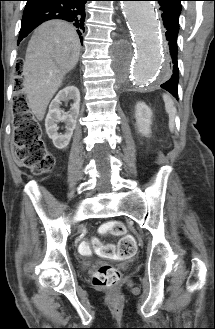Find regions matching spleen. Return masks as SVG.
Here are the masks:
<instances>
[{"label":"spleen","instance_id":"1","mask_svg":"<svg viewBox=\"0 0 215 329\" xmlns=\"http://www.w3.org/2000/svg\"><path fill=\"white\" fill-rule=\"evenodd\" d=\"M163 100L165 103V110L169 115V127H170V131L173 132L174 130V120H175V116H176V108L174 106V102L171 99V97L167 94L163 95Z\"/></svg>","mask_w":215,"mask_h":329}]
</instances>
